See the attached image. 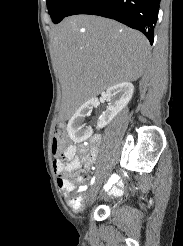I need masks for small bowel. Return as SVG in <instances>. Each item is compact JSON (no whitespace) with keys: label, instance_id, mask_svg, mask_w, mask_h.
Returning <instances> with one entry per match:
<instances>
[{"label":"small bowel","instance_id":"small-bowel-1","mask_svg":"<svg viewBox=\"0 0 183 246\" xmlns=\"http://www.w3.org/2000/svg\"><path fill=\"white\" fill-rule=\"evenodd\" d=\"M100 140V136H93L90 144L80 149L79 155H77V148L74 145H70L66 148L63 157L66 163L61 160L54 161L53 167L57 176V183L65 194L71 193L75 188L67 178L68 175L79 169L83 162L88 161L96 155ZM112 179H121V174H112ZM102 189H110V195L118 196L123 192V183H117V180H106V184H102ZM85 190L86 185L79 187V191Z\"/></svg>","mask_w":183,"mask_h":246}]
</instances>
